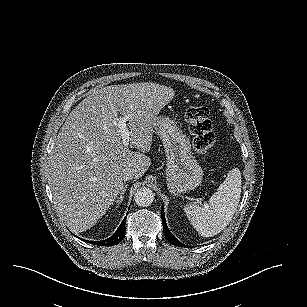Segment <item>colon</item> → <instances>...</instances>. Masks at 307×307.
Returning <instances> with one entry per match:
<instances>
[{
    "label": "colon",
    "mask_w": 307,
    "mask_h": 307,
    "mask_svg": "<svg viewBox=\"0 0 307 307\" xmlns=\"http://www.w3.org/2000/svg\"><path fill=\"white\" fill-rule=\"evenodd\" d=\"M186 121L193 137V148L199 155H207L215 142V135L206 106H192L187 109Z\"/></svg>",
    "instance_id": "1"
}]
</instances>
